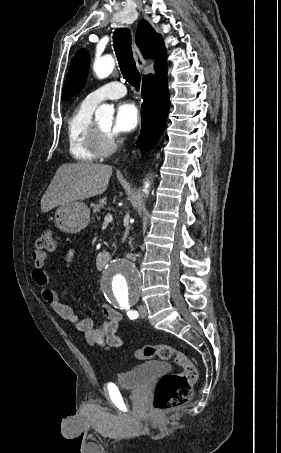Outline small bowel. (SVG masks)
<instances>
[{"label": "small bowel", "mask_w": 281, "mask_h": 453, "mask_svg": "<svg viewBox=\"0 0 281 453\" xmlns=\"http://www.w3.org/2000/svg\"><path fill=\"white\" fill-rule=\"evenodd\" d=\"M32 270L31 279L40 289L43 300L63 319L74 324L75 328L82 332L86 341L91 345L107 348H123L124 341L117 336V327L121 322V314L108 304L103 306V312L107 319L102 322H94L90 319H80L73 310L64 305L58 295L49 289V276L46 272L47 256L44 251H34L31 254ZM67 265L72 264V255L66 256Z\"/></svg>", "instance_id": "c3829d8e"}]
</instances>
